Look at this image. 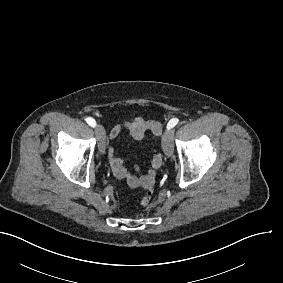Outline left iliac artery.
<instances>
[{
	"label": "left iliac artery",
	"mask_w": 283,
	"mask_h": 283,
	"mask_svg": "<svg viewBox=\"0 0 283 283\" xmlns=\"http://www.w3.org/2000/svg\"><path fill=\"white\" fill-rule=\"evenodd\" d=\"M178 122L179 120L177 118L171 119L167 124V129L173 128Z\"/></svg>",
	"instance_id": "obj_1"
}]
</instances>
